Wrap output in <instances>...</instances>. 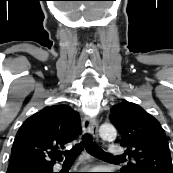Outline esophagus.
Wrapping results in <instances>:
<instances>
[{"instance_id":"esophagus-1","label":"esophagus","mask_w":173,"mask_h":173,"mask_svg":"<svg viewBox=\"0 0 173 173\" xmlns=\"http://www.w3.org/2000/svg\"><path fill=\"white\" fill-rule=\"evenodd\" d=\"M82 127L85 133L91 134L95 140H98V120L96 118L85 117Z\"/></svg>"}]
</instances>
